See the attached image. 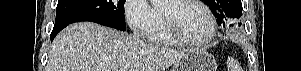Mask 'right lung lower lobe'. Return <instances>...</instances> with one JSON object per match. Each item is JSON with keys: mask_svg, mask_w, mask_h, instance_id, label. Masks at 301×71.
<instances>
[{"mask_svg": "<svg viewBox=\"0 0 301 71\" xmlns=\"http://www.w3.org/2000/svg\"><path fill=\"white\" fill-rule=\"evenodd\" d=\"M79 21H91V22H95V23H98V24H101V25H105V26H108V27L115 28V25L112 24L111 22L103 20V19L98 18V17H94V16L81 17V18H78V19H75V20H71V21H68V22H63V23L55 24L54 28H53V31L51 33V41L67 25H69L71 23H74V22H79Z\"/></svg>", "mask_w": 301, "mask_h": 71, "instance_id": "obj_1", "label": "right lung lower lobe"}]
</instances>
